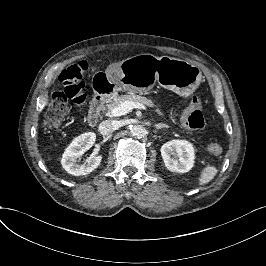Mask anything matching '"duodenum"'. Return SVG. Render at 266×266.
<instances>
[{"instance_id": "obj_1", "label": "duodenum", "mask_w": 266, "mask_h": 266, "mask_svg": "<svg viewBox=\"0 0 266 266\" xmlns=\"http://www.w3.org/2000/svg\"><path fill=\"white\" fill-rule=\"evenodd\" d=\"M93 92L94 102L88 116L89 123L95 125L100 118L101 104L109 101L110 97L116 92V85L105 74H98L93 79Z\"/></svg>"}]
</instances>
